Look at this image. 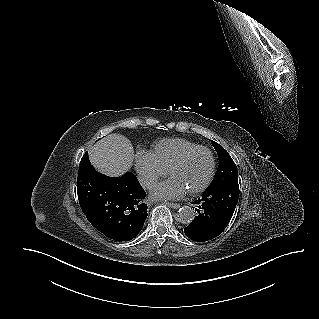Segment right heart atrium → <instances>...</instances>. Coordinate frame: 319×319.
I'll return each instance as SVG.
<instances>
[{
    "mask_svg": "<svg viewBox=\"0 0 319 319\" xmlns=\"http://www.w3.org/2000/svg\"><path fill=\"white\" fill-rule=\"evenodd\" d=\"M135 169L140 183L146 187H152L167 171L162 168L150 154L139 151L135 156Z\"/></svg>",
    "mask_w": 319,
    "mask_h": 319,
    "instance_id": "1",
    "label": "right heart atrium"
}]
</instances>
